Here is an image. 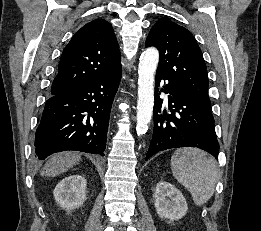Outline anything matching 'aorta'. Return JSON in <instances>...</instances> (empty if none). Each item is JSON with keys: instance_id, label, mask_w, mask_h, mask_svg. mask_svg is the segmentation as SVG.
<instances>
[{"instance_id": "obj_1", "label": "aorta", "mask_w": 261, "mask_h": 231, "mask_svg": "<svg viewBox=\"0 0 261 231\" xmlns=\"http://www.w3.org/2000/svg\"><path fill=\"white\" fill-rule=\"evenodd\" d=\"M159 62V52L156 48L146 49L140 57L138 66V99L137 125L138 136L148 130L154 105V75Z\"/></svg>"}]
</instances>
